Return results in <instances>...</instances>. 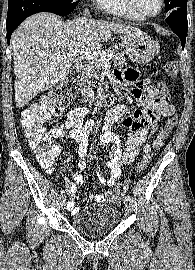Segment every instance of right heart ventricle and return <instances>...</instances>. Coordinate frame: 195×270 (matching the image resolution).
<instances>
[{"label":"right heart ventricle","instance_id":"right-heart-ventricle-1","mask_svg":"<svg viewBox=\"0 0 195 270\" xmlns=\"http://www.w3.org/2000/svg\"><path fill=\"white\" fill-rule=\"evenodd\" d=\"M99 6L105 12L127 20L140 21L142 20L136 16L127 7L125 0H101Z\"/></svg>","mask_w":195,"mask_h":270}]
</instances>
